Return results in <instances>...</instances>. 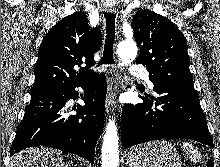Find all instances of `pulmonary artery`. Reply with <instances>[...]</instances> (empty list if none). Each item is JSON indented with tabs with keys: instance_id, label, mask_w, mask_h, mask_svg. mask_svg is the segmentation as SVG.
I'll list each match as a JSON object with an SVG mask.
<instances>
[{
	"instance_id": "e3ab8cb5",
	"label": "pulmonary artery",
	"mask_w": 220,
	"mask_h": 167,
	"mask_svg": "<svg viewBox=\"0 0 220 167\" xmlns=\"http://www.w3.org/2000/svg\"><path fill=\"white\" fill-rule=\"evenodd\" d=\"M130 74L132 76L140 77V78L144 79L147 82V84H148V86L150 88L153 87V84L147 78L148 72H147V70L143 66H141V65H133V66H131Z\"/></svg>"
}]
</instances>
